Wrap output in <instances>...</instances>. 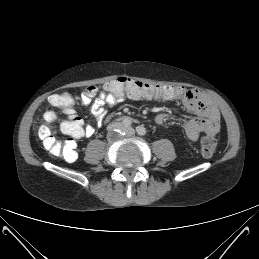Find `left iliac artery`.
<instances>
[{
	"instance_id": "obj_1",
	"label": "left iliac artery",
	"mask_w": 259,
	"mask_h": 259,
	"mask_svg": "<svg viewBox=\"0 0 259 259\" xmlns=\"http://www.w3.org/2000/svg\"><path fill=\"white\" fill-rule=\"evenodd\" d=\"M136 131L139 135H142V136L146 135V133H147V130L144 126H137Z\"/></svg>"
}]
</instances>
